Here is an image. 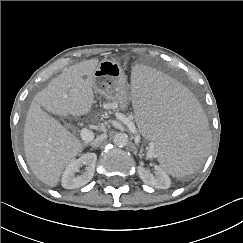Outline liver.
<instances>
[{
	"label": "liver",
	"instance_id": "obj_1",
	"mask_svg": "<svg viewBox=\"0 0 243 243\" xmlns=\"http://www.w3.org/2000/svg\"><path fill=\"white\" fill-rule=\"evenodd\" d=\"M97 59L86 60L66 69L33 98L24 125V151L34 175L55 187L65 166L83 150V144L58 120L59 116H81L94 104V72Z\"/></svg>",
	"mask_w": 243,
	"mask_h": 243
}]
</instances>
